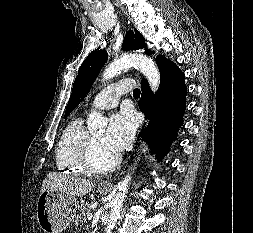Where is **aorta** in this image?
I'll return each mask as SVG.
<instances>
[{"mask_svg": "<svg viewBox=\"0 0 253 233\" xmlns=\"http://www.w3.org/2000/svg\"><path fill=\"white\" fill-rule=\"evenodd\" d=\"M130 67L139 68L142 74L147 78L152 91H157L160 86L159 70L154 64L153 60L143 54L125 55L122 58L115 60L105 69L102 75V80L107 81L120 74L122 70ZM87 125L89 131L94 132L104 129L107 125V120L99 112L93 111L89 114ZM132 169L133 168H131L130 172L123 178L122 181L118 183V192L112 201L106 233L112 232L120 217V210L122 208L131 181Z\"/></svg>", "mask_w": 253, "mask_h": 233, "instance_id": "obj_1", "label": "aorta"}]
</instances>
